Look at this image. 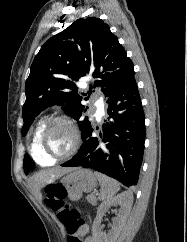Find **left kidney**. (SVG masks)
<instances>
[{
  "instance_id": "obj_1",
  "label": "left kidney",
  "mask_w": 187,
  "mask_h": 242,
  "mask_svg": "<svg viewBox=\"0 0 187 242\" xmlns=\"http://www.w3.org/2000/svg\"><path fill=\"white\" fill-rule=\"evenodd\" d=\"M133 204V194L125 191L107 201L100 204L97 209V216L92 225L93 242H116L120 232L125 224V221L130 213ZM120 205L117 217L113 219L111 231L106 234L102 231V217L112 206Z\"/></svg>"
}]
</instances>
